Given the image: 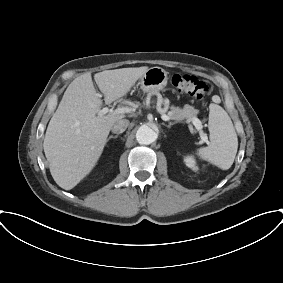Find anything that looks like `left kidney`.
Listing matches in <instances>:
<instances>
[{"instance_id": "left-kidney-1", "label": "left kidney", "mask_w": 283, "mask_h": 283, "mask_svg": "<svg viewBox=\"0 0 283 283\" xmlns=\"http://www.w3.org/2000/svg\"><path fill=\"white\" fill-rule=\"evenodd\" d=\"M184 162L189 168H191L193 170H197L195 159L192 156H187L184 159Z\"/></svg>"}]
</instances>
